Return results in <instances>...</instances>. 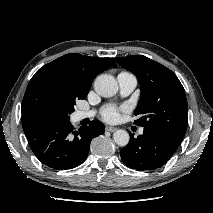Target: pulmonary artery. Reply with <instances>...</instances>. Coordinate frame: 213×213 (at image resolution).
Listing matches in <instances>:
<instances>
[{"label":"pulmonary artery","instance_id":"e3ab8cb5","mask_svg":"<svg viewBox=\"0 0 213 213\" xmlns=\"http://www.w3.org/2000/svg\"><path fill=\"white\" fill-rule=\"evenodd\" d=\"M117 81L119 84V90L120 94L122 96H128L130 95L134 89L137 86V79L136 77L128 72H121L117 76ZM95 112L94 111H78L75 115L77 120H82L84 118H89L94 116ZM139 133H143V129L139 130Z\"/></svg>","mask_w":213,"mask_h":213}]
</instances>
